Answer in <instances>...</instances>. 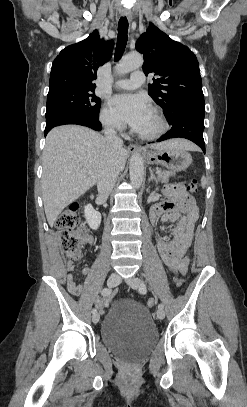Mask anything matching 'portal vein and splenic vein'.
<instances>
[{"label": "portal vein and splenic vein", "instance_id": "1", "mask_svg": "<svg viewBox=\"0 0 247 407\" xmlns=\"http://www.w3.org/2000/svg\"><path fill=\"white\" fill-rule=\"evenodd\" d=\"M160 172H161L160 170H157V171H156V174H159Z\"/></svg>", "mask_w": 247, "mask_h": 407}]
</instances>
